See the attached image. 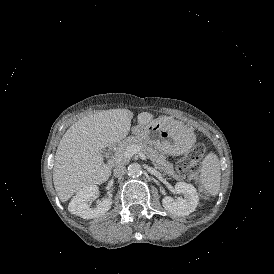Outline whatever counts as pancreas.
Segmentation results:
<instances>
[{
    "label": "pancreas",
    "instance_id": "obj_1",
    "mask_svg": "<svg viewBox=\"0 0 274 274\" xmlns=\"http://www.w3.org/2000/svg\"><path fill=\"white\" fill-rule=\"evenodd\" d=\"M131 145H138L140 147V152L145 154L148 159H150L154 167L169 176H172L176 180H181L184 177L175 173L173 165L166 161V157L160 154L156 149L147 145V143L139 136L127 137L123 140L115 150V166H122L129 163L130 158L124 156L126 148Z\"/></svg>",
    "mask_w": 274,
    "mask_h": 274
}]
</instances>
